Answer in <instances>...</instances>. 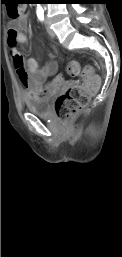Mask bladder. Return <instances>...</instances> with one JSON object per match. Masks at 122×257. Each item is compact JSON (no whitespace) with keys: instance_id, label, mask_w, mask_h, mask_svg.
<instances>
[{"instance_id":"bladder-1","label":"bladder","mask_w":122,"mask_h":257,"mask_svg":"<svg viewBox=\"0 0 122 257\" xmlns=\"http://www.w3.org/2000/svg\"><path fill=\"white\" fill-rule=\"evenodd\" d=\"M25 105L35 115L45 117L49 115L51 110V97L32 96L25 99Z\"/></svg>"}]
</instances>
